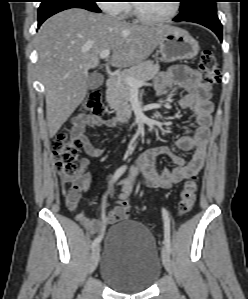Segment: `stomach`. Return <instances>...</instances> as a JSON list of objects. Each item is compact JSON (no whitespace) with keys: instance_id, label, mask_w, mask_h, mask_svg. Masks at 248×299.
Here are the masks:
<instances>
[{"instance_id":"1","label":"stomach","mask_w":248,"mask_h":299,"mask_svg":"<svg viewBox=\"0 0 248 299\" xmlns=\"http://www.w3.org/2000/svg\"><path fill=\"white\" fill-rule=\"evenodd\" d=\"M159 52L166 62L192 59L199 52L198 42L185 30L171 27L159 42Z\"/></svg>"}]
</instances>
